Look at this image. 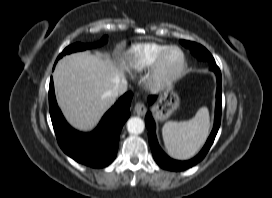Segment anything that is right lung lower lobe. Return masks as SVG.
Wrapping results in <instances>:
<instances>
[{"mask_svg": "<svg viewBox=\"0 0 272 198\" xmlns=\"http://www.w3.org/2000/svg\"><path fill=\"white\" fill-rule=\"evenodd\" d=\"M55 66V65H54ZM132 92L125 93L104 115L91 133L74 130L59 110L53 79L49 85V107L52 124L61 149L75 161L93 168L108 166L116 157L119 135L130 116Z\"/></svg>", "mask_w": 272, "mask_h": 198, "instance_id": "obj_1", "label": "right lung lower lobe"}]
</instances>
